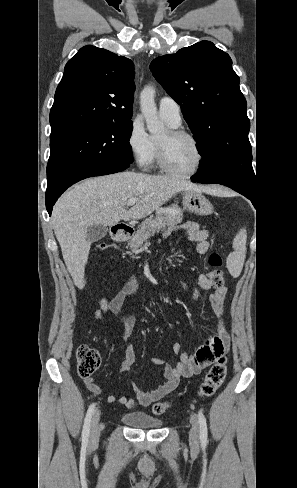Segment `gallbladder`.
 I'll return each mask as SVG.
<instances>
[{
    "mask_svg": "<svg viewBox=\"0 0 297 488\" xmlns=\"http://www.w3.org/2000/svg\"><path fill=\"white\" fill-rule=\"evenodd\" d=\"M108 228L102 224H94L87 230V239L91 242L98 241L106 236Z\"/></svg>",
    "mask_w": 297,
    "mask_h": 488,
    "instance_id": "obj_1",
    "label": "gallbladder"
}]
</instances>
